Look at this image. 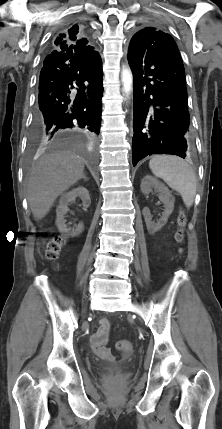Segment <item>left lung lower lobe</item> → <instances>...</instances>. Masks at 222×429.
Wrapping results in <instances>:
<instances>
[{"label": "left lung lower lobe", "instance_id": "0a47b994", "mask_svg": "<svg viewBox=\"0 0 222 429\" xmlns=\"http://www.w3.org/2000/svg\"><path fill=\"white\" fill-rule=\"evenodd\" d=\"M128 62L134 77L133 166L152 154L185 158L191 145L190 115L175 41L166 33L156 42L132 44Z\"/></svg>", "mask_w": 222, "mask_h": 429}]
</instances>
